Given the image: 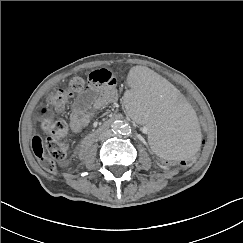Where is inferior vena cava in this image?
<instances>
[{
    "instance_id": "602c4592",
    "label": "inferior vena cava",
    "mask_w": 243,
    "mask_h": 243,
    "mask_svg": "<svg viewBox=\"0 0 243 243\" xmlns=\"http://www.w3.org/2000/svg\"><path fill=\"white\" fill-rule=\"evenodd\" d=\"M111 136H112V131L111 130H104V131H102L100 133L99 139L100 140H105V139H107V138H109Z\"/></svg>"
}]
</instances>
